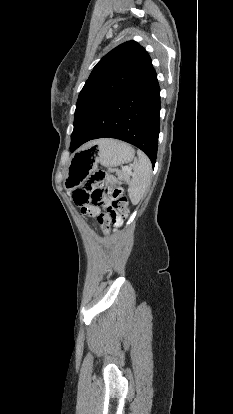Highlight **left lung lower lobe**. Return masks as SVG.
Listing matches in <instances>:
<instances>
[{"mask_svg": "<svg viewBox=\"0 0 233 414\" xmlns=\"http://www.w3.org/2000/svg\"><path fill=\"white\" fill-rule=\"evenodd\" d=\"M160 87L152 67L119 93L95 103L74 121L70 149L89 140L116 138L128 142L155 165L160 126Z\"/></svg>", "mask_w": 233, "mask_h": 414, "instance_id": "left-lung-lower-lobe-1", "label": "left lung lower lobe"}]
</instances>
